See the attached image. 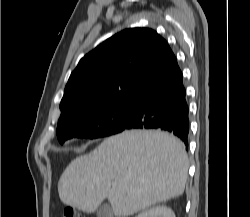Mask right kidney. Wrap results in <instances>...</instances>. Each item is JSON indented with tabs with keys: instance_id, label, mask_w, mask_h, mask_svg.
<instances>
[{
	"instance_id": "obj_1",
	"label": "right kidney",
	"mask_w": 250,
	"mask_h": 217,
	"mask_svg": "<svg viewBox=\"0 0 250 217\" xmlns=\"http://www.w3.org/2000/svg\"><path fill=\"white\" fill-rule=\"evenodd\" d=\"M136 217H175V214L171 208L159 205L141 212Z\"/></svg>"
}]
</instances>
